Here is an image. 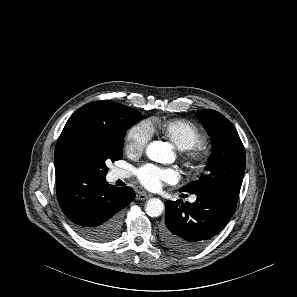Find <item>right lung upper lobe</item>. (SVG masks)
Returning <instances> with one entry per match:
<instances>
[{"label":"right lung upper lobe","mask_w":297,"mask_h":297,"mask_svg":"<svg viewBox=\"0 0 297 297\" xmlns=\"http://www.w3.org/2000/svg\"><path fill=\"white\" fill-rule=\"evenodd\" d=\"M122 104L103 100L84 105L67 121L55 148V172L61 176L72 172L68 150L74 138L80 134L112 136L120 132L123 121Z\"/></svg>","instance_id":"right-lung-upper-lobe-1"}]
</instances>
